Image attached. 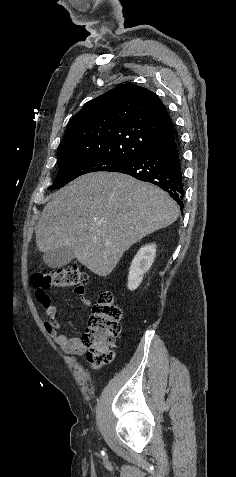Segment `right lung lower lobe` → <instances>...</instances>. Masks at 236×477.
Segmentation results:
<instances>
[{
	"mask_svg": "<svg viewBox=\"0 0 236 477\" xmlns=\"http://www.w3.org/2000/svg\"><path fill=\"white\" fill-rule=\"evenodd\" d=\"M113 172L133 176L153 183L170 196L183 209L184 188L178 143L173 135L164 143L131 159Z\"/></svg>",
	"mask_w": 236,
	"mask_h": 477,
	"instance_id": "1",
	"label": "right lung lower lobe"
}]
</instances>
